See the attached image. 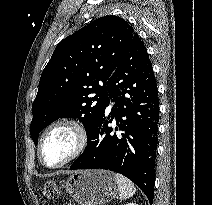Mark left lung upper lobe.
<instances>
[{
	"mask_svg": "<svg viewBox=\"0 0 212 205\" xmlns=\"http://www.w3.org/2000/svg\"><path fill=\"white\" fill-rule=\"evenodd\" d=\"M117 16H104L63 39L39 82L32 105L31 137L63 117L78 118L87 139L109 103L108 80L135 35Z\"/></svg>",
	"mask_w": 212,
	"mask_h": 205,
	"instance_id": "obj_1",
	"label": "left lung upper lobe"
}]
</instances>
